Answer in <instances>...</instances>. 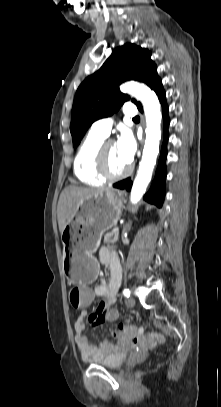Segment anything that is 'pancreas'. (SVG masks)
<instances>
[{"label": "pancreas", "mask_w": 221, "mask_h": 407, "mask_svg": "<svg viewBox=\"0 0 221 407\" xmlns=\"http://www.w3.org/2000/svg\"><path fill=\"white\" fill-rule=\"evenodd\" d=\"M118 239H119V232L113 230L104 235L103 241L105 244H107L109 246L110 244L116 243L118 241Z\"/></svg>", "instance_id": "obj_1"}]
</instances>
